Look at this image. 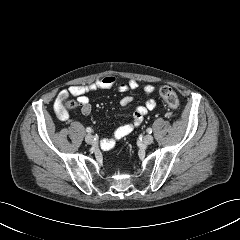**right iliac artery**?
I'll return each instance as SVG.
<instances>
[{
	"mask_svg": "<svg viewBox=\"0 0 240 240\" xmlns=\"http://www.w3.org/2000/svg\"><path fill=\"white\" fill-rule=\"evenodd\" d=\"M86 132L91 133V132H92V129H91L90 127H87V128H86Z\"/></svg>",
	"mask_w": 240,
	"mask_h": 240,
	"instance_id": "82829eb1",
	"label": "right iliac artery"
}]
</instances>
